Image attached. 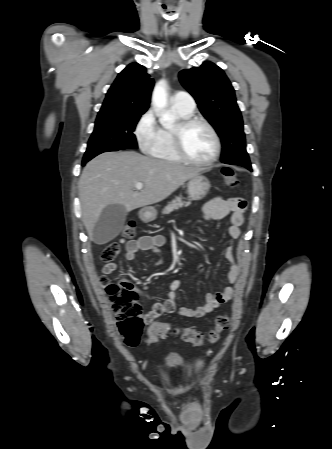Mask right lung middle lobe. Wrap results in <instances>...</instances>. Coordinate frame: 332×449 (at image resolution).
<instances>
[{"label":"right lung middle lobe","mask_w":332,"mask_h":449,"mask_svg":"<svg viewBox=\"0 0 332 449\" xmlns=\"http://www.w3.org/2000/svg\"><path fill=\"white\" fill-rule=\"evenodd\" d=\"M141 115L121 113L97 116L83 161H89L103 152L137 149L133 132Z\"/></svg>","instance_id":"dd1d6c3e"}]
</instances>
